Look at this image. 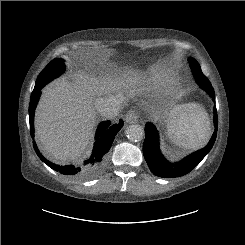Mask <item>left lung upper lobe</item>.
<instances>
[{
    "instance_id": "obj_1",
    "label": "left lung upper lobe",
    "mask_w": 245,
    "mask_h": 245,
    "mask_svg": "<svg viewBox=\"0 0 245 245\" xmlns=\"http://www.w3.org/2000/svg\"><path fill=\"white\" fill-rule=\"evenodd\" d=\"M188 60H189L190 67L192 69L193 76H194L196 82L201 87L211 85L209 80L203 75L201 68H200V65L197 63V61L195 59H193L192 57H190Z\"/></svg>"
}]
</instances>
